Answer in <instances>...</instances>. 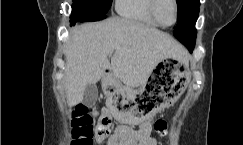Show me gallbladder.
<instances>
[{"instance_id":"1","label":"gallbladder","mask_w":243,"mask_h":145,"mask_svg":"<svg viewBox=\"0 0 243 145\" xmlns=\"http://www.w3.org/2000/svg\"><path fill=\"white\" fill-rule=\"evenodd\" d=\"M97 97V86L95 84H88L84 91L83 103L88 107H92L95 104Z\"/></svg>"}]
</instances>
